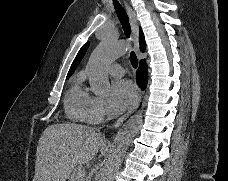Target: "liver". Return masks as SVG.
I'll return each instance as SVG.
<instances>
[{"instance_id": "6515ba94", "label": "liver", "mask_w": 228, "mask_h": 181, "mask_svg": "<svg viewBox=\"0 0 228 181\" xmlns=\"http://www.w3.org/2000/svg\"><path fill=\"white\" fill-rule=\"evenodd\" d=\"M105 137L85 125H50L43 131L33 181H66L77 165H85L102 149Z\"/></svg>"}]
</instances>
